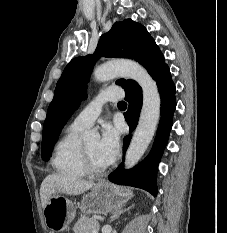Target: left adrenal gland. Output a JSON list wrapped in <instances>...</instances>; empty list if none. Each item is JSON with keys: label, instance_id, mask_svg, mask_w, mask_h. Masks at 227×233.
Here are the masks:
<instances>
[{"label": "left adrenal gland", "instance_id": "1", "mask_svg": "<svg viewBox=\"0 0 227 233\" xmlns=\"http://www.w3.org/2000/svg\"><path fill=\"white\" fill-rule=\"evenodd\" d=\"M130 209V207H128L127 209H124V210H120V209H116L114 210V212L112 213V216L110 217V222H113L114 220L118 219L119 216L128 211Z\"/></svg>", "mask_w": 227, "mask_h": 233}]
</instances>
